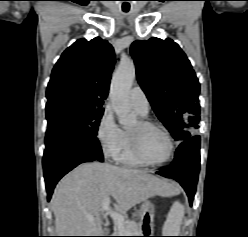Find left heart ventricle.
Instances as JSON below:
<instances>
[{"instance_id":"b2bd125f","label":"left heart ventricle","mask_w":248,"mask_h":237,"mask_svg":"<svg viewBox=\"0 0 248 237\" xmlns=\"http://www.w3.org/2000/svg\"><path fill=\"white\" fill-rule=\"evenodd\" d=\"M137 132L143 154L151 161H161L168 155L169 144L162 132L155 128L140 130L138 122L129 130Z\"/></svg>"}]
</instances>
